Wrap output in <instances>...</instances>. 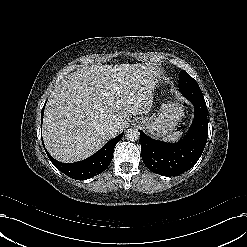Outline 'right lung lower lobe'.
Segmentation results:
<instances>
[{
	"instance_id": "right-lung-lower-lobe-1",
	"label": "right lung lower lobe",
	"mask_w": 247,
	"mask_h": 247,
	"mask_svg": "<svg viewBox=\"0 0 247 247\" xmlns=\"http://www.w3.org/2000/svg\"><path fill=\"white\" fill-rule=\"evenodd\" d=\"M43 112L44 108L42 110L41 118H43ZM122 136L123 133L111 139L94 155L90 156L89 158L83 161L75 163L67 164L59 162L55 160L52 156H50V154L47 151L46 153L53 165L62 173L66 174L67 176L73 179L84 180L102 173L109 166L113 157L114 147L116 143L122 138Z\"/></svg>"
}]
</instances>
